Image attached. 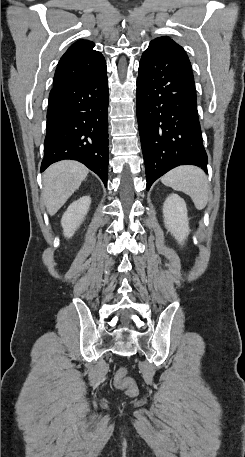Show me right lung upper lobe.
<instances>
[{
	"instance_id": "1",
	"label": "right lung upper lobe",
	"mask_w": 245,
	"mask_h": 457,
	"mask_svg": "<svg viewBox=\"0 0 245 457\" xmlns=\"http://www.w3.org/2000/svg\"><path fill=\"white\" fill-rule=\"evenodd\" d=\"M95 44L80 40L61 57L54 76V86L81 76L95 74L106 68L103 55L93 50Z\"/></svg>"
}]
</instances>
